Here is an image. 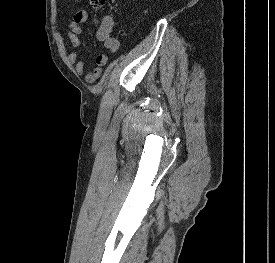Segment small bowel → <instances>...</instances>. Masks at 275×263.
<instances>
[{
    "label": "small bowel",
    "mask_w": 275,
    "mask_h": 263,
    "mask_svg": "<svg viewBox=\"0 0 275 263\" xmlns=\"http://www.w3.org/2000/svg\"><path fill=\"white\" fill-rule=\"evenodd\" d=\"M88 20V12L79 10L75 13L73 20L69 24L68 38L73 48L81 46L80 35L82 33V25ZM113 28L112 19H107L97 32V38L104 43L105 47L111 53H116L120 49V41L112 36ZM68 61L75 66V71L78 75H83L85 72L84 61L80 58L77 52H71L68 55ZM108 58L105 54H98L95 58V66L85 73V81L89 84L94 83L102 74V67L106 66Z\"/></svg>",
    "instance_id": "obj_1"
}]
</instances>
